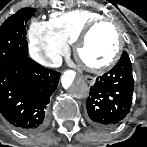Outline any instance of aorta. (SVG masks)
<instances>
[{"label": "aorta", "instance_id": "aorta-1", "mask_svg": "<svg viewBox=\"0 0 147 147\" xmlns=\"http://www.w3.org/2000/svg\"><path fill=\"white\" fill-rule=\"evenodd\" d=\"M89 92L88 85L86 83H80L73 87L72 93L76 98H85Z\"/></svg>", "mask_w": 147, "mask_h": 147}]
</instances>
